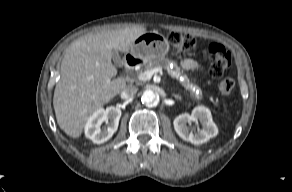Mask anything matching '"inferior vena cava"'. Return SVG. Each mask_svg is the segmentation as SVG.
Masks as SVG:
<instances>
[{"label": "inferior vena cava", "mask_w": 292, "mask_h": 192, "mask_svg": "<svg viewBox=\"0 0 292 192\" xmlns=\"http://www.w3.org/2000/svg\"><path fill=\"white\" fill-rule=\"evenodd\" d=\"M138 88L134 85H127L125 88L122 90L121 96L124 99H129L135 96L137 93Z\"/></svg>", "instance_id": "602c4592"}]
</instances>
